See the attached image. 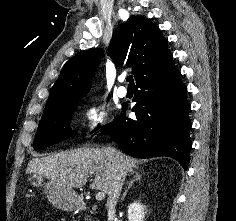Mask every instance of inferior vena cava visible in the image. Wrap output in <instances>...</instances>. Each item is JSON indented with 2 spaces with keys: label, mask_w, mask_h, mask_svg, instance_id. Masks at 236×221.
<instances>
[{
  "label": "inferior vena cava",
  "mask_w": 236,
  "mask_h": 221,
  "mask_svg": "<svg viewBox=\"0 0 236 221\" xmlns=\"http://www.w3.org/2000/svg\"><path fill=\"white\" fill-rule=\"evenodd\" d=\"M105 150L114 167L113 180L108 192L106 208L108 212H114L127 172L121 152L112 147H107Z\"/></svg>",
  "instance_id": "602c4592"
}]
</instances>
